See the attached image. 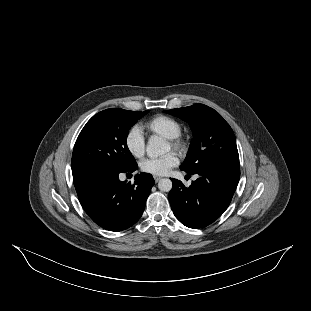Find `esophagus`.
<instances>
[{
	"mask_svg": "<svg viewBox=\"0 0 311 311\" xmlns=\"http://www.w3.org/2000/svg\"><path fill=\"white\" fill-rule=\"evenodd\" d=\"M153 178H154V180H155L156 183L161 179V177H160V176H157V175H154Z\"/></svg>",
	"mask_w": 311,
	"mask_h": 311,
	"instance_id": "1",
	"label": "esophagus"
}]
</instances>
